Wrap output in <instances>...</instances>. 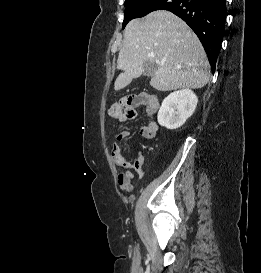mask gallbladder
I'll return each instance as SVG.
<instances>
[{
  "label": "gallbladder",
  "instance_id": "gallbladder-1",
  "mask_svg": "<svg viewBox=\"0 0 261 273\" xmlns=\"http://www.w3.org/2000/svg\"><path fill=\"white\" fill-rule=\"evenodd\" d=\"M155 64L154 63H151V62H146L144 64V73L143 75L145 76H152L155 72Z\"/></svg>",
  "mask_w": 261,
  "mask_h": 273
}]
</instances>
